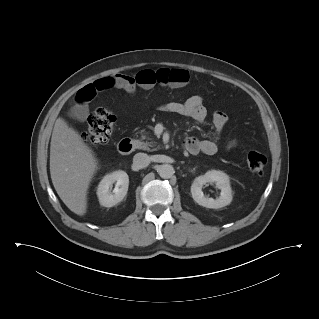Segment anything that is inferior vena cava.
Masks as SVG:
<instances>
[{"instance_id":"1","label":"inferior vena cava","mask_w":319,"mask_h":319,"mask_svg":"<svg viewBox=\"0 0 319 319\" xmlns=\"http://www.w3.org/2000/svg\"><path fill=\"white\" fill-rule=\"evenodd\" d=\"M133 163L138 168H145L150 164V157L146 153H137L133 158Z\"/></svg>"}]
</instances>
